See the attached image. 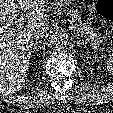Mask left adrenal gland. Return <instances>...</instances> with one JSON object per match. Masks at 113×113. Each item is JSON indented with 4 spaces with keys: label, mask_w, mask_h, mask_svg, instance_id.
<instances>
[{
    "label": "left adrenal gland",
    "mask_w": 113,
    "mask_h": 113,
    "mask_svg": "<svg viewBox=\"0 0 113 113\" xmlns=\"http://www.w3.org/2000/svg\"><path fill=\"white\" fill-rule=\"evenodd\" d=\"M75 37H76V39H77V42H76V44H77V46H79L80 44L82 45H86L87 44V42H84V40L83 39H81V38H79V36L77 35V34H75Z\"/></svg>",
    "instance_id": "obj_1"
}]
</instances>
